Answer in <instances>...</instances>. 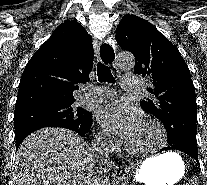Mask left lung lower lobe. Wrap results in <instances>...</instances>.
I'll use <instances>...</instances> for the list:
<instances>
[{
	"mask_svg": "<svg viewBox=\"0 0 207 185\" xmlns=\"http://www.w3.org/2000/svg\"><path fill=\"white\" fill-rule=\"evenodd\" d=\"M180 150V151H183L185 152L186 154L190 155L192 158H194L198 163V155H197V151H190L186 148H184L181 144H173V145H170L168 147H165L163 149L160 150L161 151H164V150Z\"/></svg>",
	"mask_w": 207,
	"mask_h": 185,
	"instance_id": "left-lung-lower-lobe-1",
	"label": "left lung lower lobe"
}]
</instances>
